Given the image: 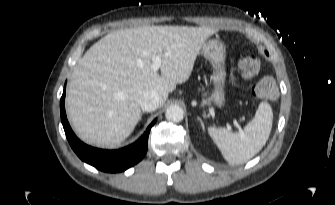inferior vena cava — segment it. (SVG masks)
Returning a JSON list of instances; mask_svg holds the SVG:
<instances>
[{
	"mask_svg": "<svg viewBox=\"0 0 335 205\" xmlns=\"http://www.w3.org/2000/svg\"><path fill=\"white\" fill-rule=\"evenodd\" d=\"M159 94L154 90L146 91L142 94L139 104L143 111H154L159 107Z\"/></svg>",
	"mask_w": 335,
	"mask_h": 205,
	"instance_id": "602c4592",
	"label": "inferior vena cava"
}]
</instances>
